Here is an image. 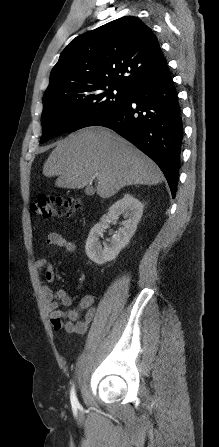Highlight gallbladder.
I'll return each mask as SVG.
<instances>
[{"label":"gallbladder","instance_id":"gallbladder-1","mask_svg":"<svg viewBox=\"0 0 219 447\" xmlns=\"http://www.w3.org/2000/svg\"><path fill=\"white\" fill-rule=\"evenodd\" d=\"M94 193H95V189H94L93 187H87V188L85 189V194H86V195L91 196V195H93Z\"/></svg>","mask_w":219,"mask_h":447}]
</instances>
